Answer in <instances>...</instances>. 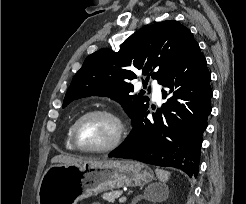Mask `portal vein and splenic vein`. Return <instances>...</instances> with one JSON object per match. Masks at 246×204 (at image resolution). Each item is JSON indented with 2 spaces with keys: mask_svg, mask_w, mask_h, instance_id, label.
<instances>
[{
  "mask_svg": "<svg viewBox=\"0 0 246 204\" xmlns=\"http://www.w3.org/2000/svg\"><path fill=\"white\" fill-rule=\"evenodd\" d=\"M126 199H127L126 197H121V198L119 199V202H120V203H123V202L126 201Z\"/></svg>",
  "mask_w": 246,
  "mask_h": 204,
  "instance_id": "obj_1",
  "label": "portal vein and splenic vein"
}]
</instances>
